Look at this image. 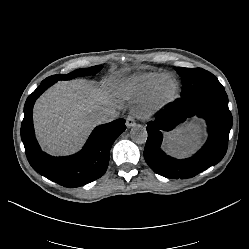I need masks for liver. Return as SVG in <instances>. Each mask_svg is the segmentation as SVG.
I'll use <instances>...</instances> for the list:
<instances>
[{
  "instance_id": "1",
  "label": "liver",
  "mask_w": 249,
  "mask_h": 249,
  "mask_svg": "<svg viewBox=\"0 0 249 249\" xmlns=\"http://www.w3.org/2000/svg\"><path fill=\"white\" fill-rule=\"evenodd\" d=\"M110 86L115 84L98 85L81 78L59 81L49 88L36 101L33 110L34 128L41 147L57 156L78 151L98 125L97 113L119 108L118 101L110 94ZM203 137H207L203 127L189 122L166 133V145L173 155L183 158L200 147Z\"/></svg>"
}]
</instances>
